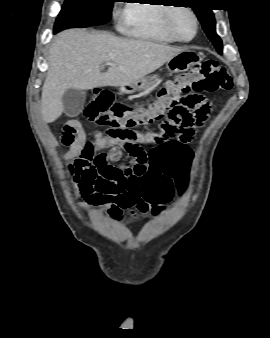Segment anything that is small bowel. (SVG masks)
Listing matches in <instances>:
<instances>
[{"instance_id":"c3829d8e","label":"small bowel","mask_w":270,"mask_h":338,"mask_svg":"<svg viewBox=\"0 0 270 338\" xmlns=\"http://www.w3.org/2000/svg\"><path fill=\"white\" fill-rule=\"evenodd\" d=\"M168 122L171 121L167 119L165 123ZM196 128V126L192 128L189 140L195 134ZM61 141L66 148L64 159L81 169L77 178L76 193L88 206L98 208L100 212H107L115 219L120 217L122 210L118 209L101 189L107 172L115 168L113 163L133 152L137 157L143 156L146 167H150L155 175V180L149 184L148 189L151 203L157 211H161L172 201L175 188L185 186L188 168L193 159V151L187 143L183 144L177 153L162 158L156 153V149L143 153L137 145L129 143L126 138L110 137L99 129L93 130V140L88 141L87 132L78 120H70L64 124ZM173 141L175 139H170L158 148ZM81 209L85 211L86 206H81Z\"/></svg>"}]
</instances>
